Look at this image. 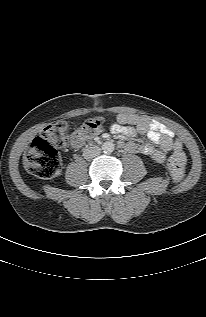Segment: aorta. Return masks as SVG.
<instances>
[{
	"label": "aorta",
	"mask_w": 206,
	"mask_h": 317,
	"mask_svg": "<svg viewBox=\"0 0 206 317\" xmlns=\"http://www.w3.org/2000/svg\"><path fill=\"white\" fill-rule=\"evenodd\" d=\"M102 150L104 153L110 154L114 151V144L111 141L103 143Z\"/></svg>",
	"instance_id": "aorta-1"
}]
</instances>
